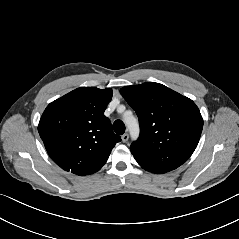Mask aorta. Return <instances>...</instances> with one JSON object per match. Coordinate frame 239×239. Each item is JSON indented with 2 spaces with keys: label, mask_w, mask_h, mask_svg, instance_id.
<instances>
[{
  "label": "aorta",
  "mask_w": 239,
  "mask_h": 239,
  "mask_svg": "<svg viewBox=\"0 0 239 239\" xmlns=\"http://www.w3.org/2000/svg\"><path fill=\"white\" fill-rule=\"evenodd\" d=\"M125 123L130 131L132 138L136 139L139 134L138 121L134 117L125 118Z\"/></svg>",
  "instance_id": "obj_1"
}]
</instances>
